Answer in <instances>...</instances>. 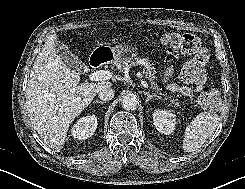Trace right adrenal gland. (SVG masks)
I'll return each instance as SVG.
<instances>
[{
    "label": "right adrenal gland",
    "instance_id": "obj_1",
    "mask_svg": "<svg viewBox=\"0 0 245 189\" xmlns=\"http://www.w3.org/2000/svg\"><path fill=\"white\" fill-rule=\"evenodd\" d=\"M94 103L104 104V103H106V101L95 100Z\"/></svg>",
    "mask_w": 245,
    "mask_h": 189
}]
</instances>
